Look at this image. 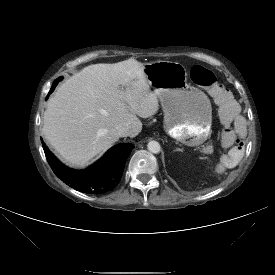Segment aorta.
<instances>
[{"instance_id":"obj_1","label":"aorta","mask_w":275,"mask_h":275,"mask_svg":"<svg viewBox=\"0 0 275 275\" xmlns=\"http://www.w3.org/2000/svg\"><path fill=\"white\" fill-rule=\"evenodd\" d=\"M147 148L150 152L157 154L161 150V146L157 141H150L147 145Z\"/></svg>"}]
</instances>
